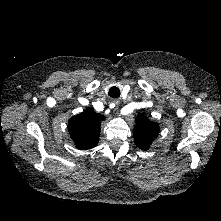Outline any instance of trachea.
<instances>
[{
    "label": "trachea",
    "instance_id": "obj_1",
    "mask_svg": "<svg viewBox=\"0 0 221 221\" xmlns=\"http://www.w3.org/2000/svg\"><path fill=\"white\" fill-rule=\"evenodd\" d=\"M108 95L112 98H118L120 96V90L118 87L113 86L109 89Z\"/></svg>",
    "mask_w": 221,
    "mask_h": 221
}]
</instances>
